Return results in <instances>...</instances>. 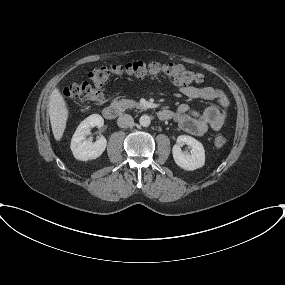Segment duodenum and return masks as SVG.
Instances as JSON below:
<instances>
[{
  "label": "duodenum",
  "instance_id": "obj_1",
  "mask_svg": "<svg viewBox=\"0 0 285 285\" xmlns=\"http://www.w3.org/2000/svg\"><path fill=\"white\" fill-rule=\"evenodd\" d=\"M121 113V106L117 103H112L106 106L103 110V115L108 120L116 119ZM158 117L161 120H168L170 118V111L166 109L160 110Z\"/></svg>",
  "mask_w": 285,
  "mask_h": 285
}]
</instances>
